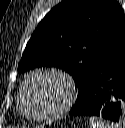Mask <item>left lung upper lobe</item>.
I'll list each match as a JSON object with an SVG mask.
<instances>
[{
  "instance_id": "5c2ea615",
  "label": "left lung upper lobe",
  "mask_w": 125,
  "mask_h": 128,
  "mask_svg": "<svg viewBox=\"0 0 125 128\" xmlns=\"http://www.w3.org/2000/svg\"><path fill=\"white\" fill-rule=\"evenodd\" d=\"M125 30L117 0H65L39 23L18 65V72L57 67L68 72L79 89L108 47Z\"/></svg>"
}]
</instances>
